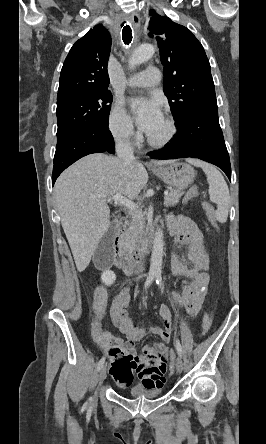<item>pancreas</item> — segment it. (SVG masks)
<instances>
[{"instance_id": "obj_1", "label": "pancreas", "mask_w": 266, "mask_h": 444, "mask_svg": "<svg viewBox=\"0 0 266 444\" xmlns=\"http://www.w3.org/2000/svg\"><path fill=\"white\" fill-rule=\"evenodd\" d=\"M183 194H184V191H182L181 189L172 190L165 197L164 205L166 207H171V206L176 205ZM144 229H145L144 215L137 216L134 214L132 216V220L129 224V228L126 232L127 239L133 249H135L137 247V244L139 243L140 239L142 238V236L144 234Z\"/></svg>"}]
</instances>
